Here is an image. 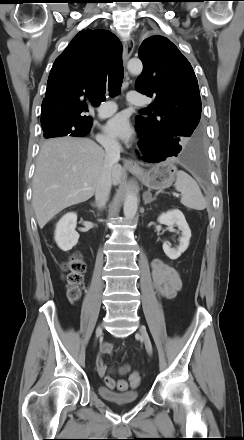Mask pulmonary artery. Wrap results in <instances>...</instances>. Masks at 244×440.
<instances>
[{
  "mask_svg": "<svg viewBox=\"0 0 244 440\" xmlns=\"http://www.w3.org/2000/svg\"><path fill=\"white\" fill-rule=\"evenodd\" d=\"M127 99L130 103L135 105L142 106L146 104L145 97L141 93L136 91H130L127 95ZM116 110H117V105L113 101L103 102L98 108V112L101 117L110 116Z\"/></svg>",
  "mask_w": 244,
  "mask_h": 440,
  "instance_id": "obj_1",
  "label": "pulmonary artery"
}]
</instances>
